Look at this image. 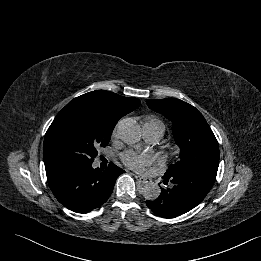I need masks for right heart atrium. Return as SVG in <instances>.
Masks as SVG:
<instances>
[{
	"label": "right heart atrium",
	"mask_w": 261,
	"mask_h": 261,
	"mask_svg": "<svg viewBox=\"0 0 261 261\" xmlns=\"http://www.w3.org/2000/svg\"><path fill=\"white\" fill-rule=\"evenodd\" d=\"M116 132H117V128L115 127V128L113 129L112 135L115 136V135H116Z\"/></svg>",
	"instance_id": "obj_1"
}]
</instances>
